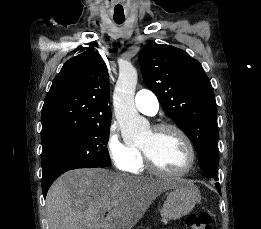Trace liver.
<instances>
[{"label": "liver", "instance_id": "liver-1", "mask_svg": "<svg viewBox=\"0 0 261 229\" xmlns=\"http://www.w3.org/2000/svg\"><path fill=\"white\" fill-rule=\"evenodd\" d=\"M169 189L172 181L75 169L50 187L46 219L49 229H133L156 197Z\"/></svg>", "mask_w": 261, "mask_h": 229}]
</instances>
